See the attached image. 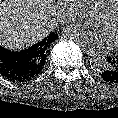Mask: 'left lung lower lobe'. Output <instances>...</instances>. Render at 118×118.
Instances as JSON below:
<instances>
[{
  "mask_svg": "<svg viewBox=\"0 0 118 118\" xmlns=\"http://www.w3.org/2000/svg\"><path fill=\"white\" fill-rule=\"evenodd\" d=\"M107 68L101 75L102 79L111 84H118V55L108 57Z\"/></svg>",
  "mask_w": 118,
  "mask_h": 118,
  "instance_id": "1",
  "label": "left lung lower lobe"
}]
</instances>
